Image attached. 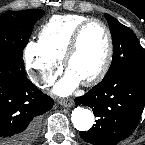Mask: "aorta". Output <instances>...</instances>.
Here are the masks:
<instances>
[{
  "mask_svg": "<svg viewBox=\"0 0 145 145\" xmlns=\"http://www.w3.org/2000/svg\"><path fill=\"white\" fill-rule=\"evenodd\" d=\"M71 121L79 131H88L94 124V114L85 108L77 107L72 111Z\"/></svg>",
  "mask_w": 145,
  "mask_h": 145,
  "instance_id": "aorta-1",
  "label": "aorta"
}]
</instances>
